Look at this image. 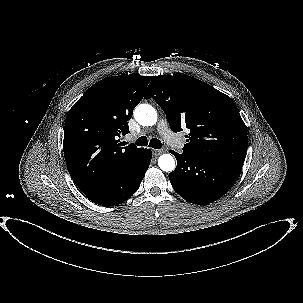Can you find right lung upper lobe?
<instances>
[{"instance_id":"cb5924a9","label":"right lung upper lobe","mask_w":303,"mask_h":303,"mask_svg":"<svg viewBox=\"0 0 303 303\" xmlns=\"http://www.w3.org/2000/svg\"><path fill=\"white\" fill-rule=\"evenodd\" d=\"M151 76H112L92 85L70 109L63 150L68 171L85 194L119 178L143 155L134 145L121 147L128 120L142 100Z\"/></svg>"}]
</instances>
